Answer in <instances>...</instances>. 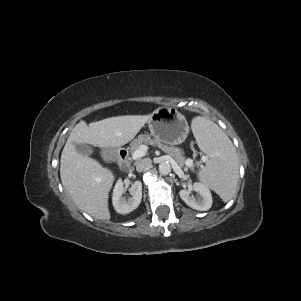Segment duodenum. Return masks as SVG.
Listing matches in <instances>:
<instances>
[{"label":"duodenum","instance_id":"duodenum-1","mask_svg":"<svg viewBox=\"0 0 301 301\" xmlns=\"http://www.w3.org/2000/svg\"><path fill=\"white\" fill-rule=\"evenodd\" d=\"M104 159L109 164L119 162L124 172H131L133 169L128 152L119 145L108 144L103 149Z\"/></svg>","mask_w":301,"mask_h":301}]
</instances>
